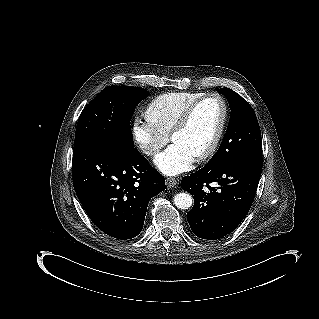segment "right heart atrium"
Masks as SVG:
<instances>
[{"instance_id": "1", "label": "right heart atrium", "mask_w": 319, "mask_h": 319, "mask_svg": "<svg viewBox=\"0 0 319 319\" xmlns=\"http://www.w3.org/2000/svg\"><path fill=\"white\" fill-rule=\"evenodd\" d=\"M135 137L139 146L152 152H157L166 144L164 133L147 125L136 126Z\"/></svg>"}]
</instances>
